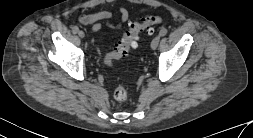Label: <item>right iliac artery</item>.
<instances>
[{
  "mask_svg": "<svg viewBox=\"0 0 253 138\" xmlns=\"http://www.w3.org/2000/svg\"><path fill=\"white\" fill-rule=\"evenodd\" d=\"M71 31H72L73 33H77V31H78V26H77V25H74V26L71 28Z\"/></svg>",
  "mask_w": 253,
  "mask_h": 138,
  "instance_id": "82829eb1",
  "label": "right iliac artery"
}]
</instances>
